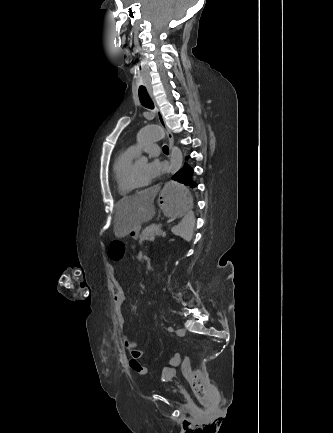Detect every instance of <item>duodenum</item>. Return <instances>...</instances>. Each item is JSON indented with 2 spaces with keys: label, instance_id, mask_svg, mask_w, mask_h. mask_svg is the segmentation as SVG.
Segmentation results:
<instances>
[{
  "label": "duodenum",
  "instance_id": "duodenum-1",
  "mask_svg": "<svg viewBox=\"0 0 333 433\" xmlns=\"http://www.w3.org/2000/svg\"><path fill=\"white\" fill-rule=\"evenodd\" d=\"M145 265H146V268L148 270H150L152 268V263H151V259L150 258L146 259Z\"/></svg>",
  "mask_w": 333,
  "mask_h": 433
}]
</instances>
